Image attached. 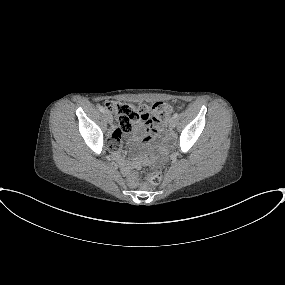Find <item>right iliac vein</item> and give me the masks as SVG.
Returning a JSON list of instances; mask_svg holds the SVG:
<instances>
[{"mask_svg": "<svg viewBox=\"0 0 285 285\" xmlns=\"http://www.w3.org/2000/svg\"><path fill=\"white\" fill-rule=\"evenodd\" d=\"M105 117L108 123L111 124L113 122V117L110 112H106Z\"/></svg>", "mask_w": 285, "mask_h": 285, "instance_id": "obj_1", "label": "right iliac vein"}]
</instances>
